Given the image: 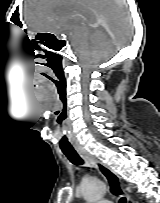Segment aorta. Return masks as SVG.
Listing matches in <instances>:
<instances>
[{"label": "aorta", "mask_w": 160, "mask_h": 203, "mask_svg": "<svg viewBox=\"0 0 160 203\" xmlns=\"http://www.w3.org/2000/svg\"><path fill=\"white\" fill-rule=\"evenodd\" d=\"M106 192V185L99 180H86L81 187V193L89 203L100 200Z\"/></svg>", "instance_id": "aorta-1"}]
</instances>
